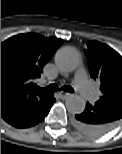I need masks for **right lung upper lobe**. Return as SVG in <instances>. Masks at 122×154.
Returning <instances> with one entry per match:
<instances>
[{"instance_id":"right-lung-upper-lobe-1","label":"right lung upper lobe","mask_w":122,"mask_h":154,"mask_svg":"<svg viewBox=\"0 0 122 154\" xmlns=\"http://www.w3.org/2000/svg\"><path fill=\"white\" fill-rule=\"evenodd\" d=\"M63 42L36 33L13 36L1 43V117L10 123L40 107L52 95L38 90L33 79Z\"/></svg>"}]
</instances>
